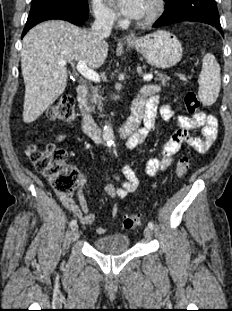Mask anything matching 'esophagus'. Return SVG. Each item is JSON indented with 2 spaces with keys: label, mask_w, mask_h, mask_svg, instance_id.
Masks as SVG:
<instances>
[{
  "label": "esophagus",
  "mask_w": 232,
  "mask_h": 311,
  "mask_svg": "<svg viewBox=\"0 0 232 311\" xmlns=\"http://www.w3.org/2000/svg\"><path fill=\"white\" fill-rule=\"evenodd\" d=\"M122 39H123L124 41H135V40H136V37L130 36V35H125V36L122 37Z\"/></svg>",
  "instance_id": "34e87169"
}]
</instances>
